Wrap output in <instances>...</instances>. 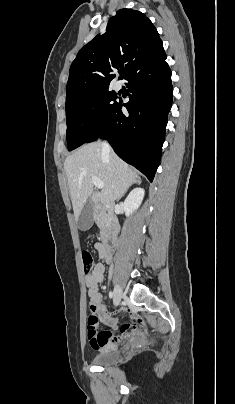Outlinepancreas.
Instances as JSON below:
<instances>
[{
  "mask_svg": "<svg viewBox=\"0 0 235 404\" xmlns=\"http://www.w3.org/2000/svg\"><path fill=\"white\" fill-rule=\"evenodd\" d=\"M96 220H97L98 227H100V228L103 227V222L101 221V217L99 215L97 216Z\"/></svg>",
  "mask_w": 235,
  "mask_h": 404,
  "instance_id": "1",
  "label": "pancreas"
}]
</instances>
